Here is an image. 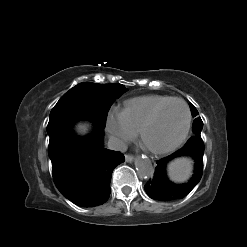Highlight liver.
I'll return each mask as SVG.
<instances>
[{
    "label": "liver",
    "instance_id": "liver-1",
    "mask_svg": "<svg viewBox=\"0 0 247 247\" xmlns=\"http://www.w3.org/2000/svg\"><path fill=\"white\" fill-rule=\"evenodd\" d=\"M76 130L79 134H86L88 131V125L87 124H78L76 127Z\"/></svg>",
    "mask_w": 247,
    "mask_h": 247
}]
</instances>
